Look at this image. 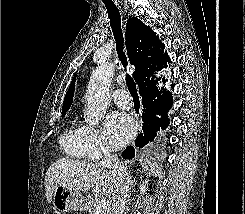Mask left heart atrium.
<instances>
[{
    "label": "left heart atrium",
    "instance_id": "left-heart-atrium-1",
    "mask_svg": "<svg viewBox=\"0 0 245 214\" xmlns=\"http://www.w3.org/2000/svg\"><path fill=\"white\" fill-rule=\"evenodd\" d=\"M136 125L132 117L122 111L109 114L104 123L106 141L111 149L125 146L134 136Z\"/></svg>",
    "mask_w": 245,
    "mask_h": 214
}]
</instances>
